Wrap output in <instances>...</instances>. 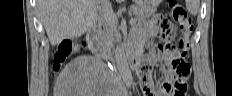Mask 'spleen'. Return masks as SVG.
Returning <instances> with one entry per match:
<instances>
[{
    "instance_id": "3e777b00",
    "label": "spleen",
    "mask_w": 232,
    "mask_h": 96,
    "mask_svg": "<svg viewBox=\"0 0 232 96\" xmlns=\"http://www.w3.org/2000/svg\"><path fill=\"white\" fill-rule=\"evenodd\" d=\"M186 8L192 15H197L200 10V0H186Z\"/></svg>"
}]
</instances>
